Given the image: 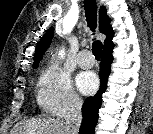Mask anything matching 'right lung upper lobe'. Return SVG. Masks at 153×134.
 <instances>
[{"label":"right lung upper lobe","mask_w":153,"mask_h":134,"mask_svg":"<svg viewBox=\"0 0 153 134\" xmlns=\"http://www.w3.org/2000/svg\"><path fill=\"white\" fill-rule=\"evenodd\" d=\"M110 21H111L110 18L106 14L105 7H101L99 12V28L100 32L106 35V39L104 41L105 43L104 49L114 45L112 42L114 32L111 26L109 25ZM53 34H54V29L53 27H51L46 31L45 35L41 37V40L37 43L36 51L33 58L34 59L33 68L38 67L39 61L41 60L43 54L45 53V51L48 49V47L52 42Z\"/></svg>","instance_id":"cb5924a9"}]
</instances>
